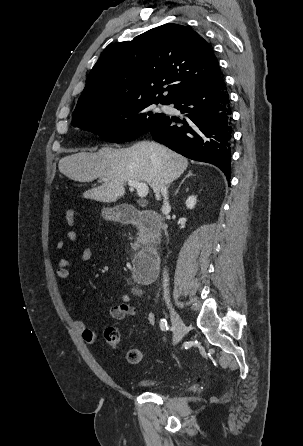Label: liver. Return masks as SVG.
Listing matches in <instances>:
<instances>
[{
	"label": "liver",
	"mask_w": 303,
	"mask_h": 446,
	"mask_svg": "<svg viewBox=\"0 0 303 446\" xmlns=\"http://www.w3.org/2000/svg\"><path fill=\"white\" fill-rule=\"evenodd\" d=\"M187 166L185 157L153 141H140L125 149L102 147L95 153L80 152L63 157L58 164L59 171L72 180H102V185L84 192L83 197L106 203L124 196V185L130 180L146 182L158 199L161 188L179 178Z\"/></svg>",
	"instance_id": "1"
}]
</instances>
